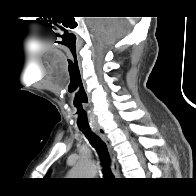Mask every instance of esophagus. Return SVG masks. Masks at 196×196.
Returning <instances> with one entry per match:
<instances>
[{"label": "esophagus", "mask_w": 196, "mask_h": 196, "mask_svg": "<svg viewBox=\"0 0 196 196\" xmlns=\"http://www.w3.org/2000/svg\"><path fill=\"white\" fill-rule=\"evenodd\" d=\"M92 129L105 142V144L108 148V152L110 154L111 168H112L113 174H114L115 178H119L120 177L119 164H118V161H117V158H116V152H115V150L113 149V147L111 145L110 139L108 138L104 129L101 126H95Z\"/></svg>", "instance_id": "esophagus-1"}]
</instances>
